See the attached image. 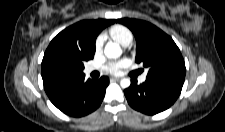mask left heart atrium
<instances>
[{
    "label": "left heart atrium",
    "mask_w": 225,
    "mask_h": 132,
    "mask_svg": "<svg viewBox=\"0 0 225 132\" xmlns=\"http://www.w3.org/2000/svg\"><path fill=\"white\" fill-rule=\"evenodd\" d=\"M127 64V60L126 59H121V60H117V61H110L107 62L103 69L108 72V73H112V74H116L118 73L121 68H123L125 65Z\"/></svg>",
    "instance_id": "obj_1"
}]
</instances>
